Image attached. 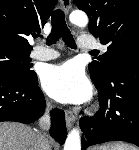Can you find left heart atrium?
Here are the masks:
<instances>
[{
    "label": "left heart atrium",
    "mask_w": 139,
    "mask_h": 150,
    "mask_svg": "<svg viewBox=\"0 0 139 150\" xmlns=\"http://www.w3.org/2000/svg\"><path fill=\"white\" fill-rule=\"evenodd\" d=\"M46 93L62 103H82L92 94L82 68L75 62L48 67L41 78Z\"/></svg>",
    "instance_id": "obj_1"
}]
</instances>
